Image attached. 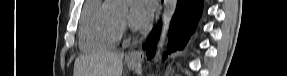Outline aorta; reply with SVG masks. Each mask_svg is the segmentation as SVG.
I'll return each mask as SVG.
<instances>
[{
	"mask_svg": "<svg viewBox=\"0 0 287 76\" xmlns=\"http://www.w3.org/2000/svg\"><path fill=\"white\" fill-rule=\"evenodd\" d=\"M163 7H164V10H163V16H162V20H163L162 32H161L160 39L157 43L156 53L152 60V64L157 63L161 55V52L164 48V45L166 43V39H167L169 27H170V22L173 18V15L177 7V0H164Z\"/></svg>",
	"mask_w": 287,
	"mask_h": 76,
	"instance_id": "aorta-1",
	"label": "aorta"
}]
</instances>
